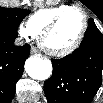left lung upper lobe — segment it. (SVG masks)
<instances>
[{
	"label": "left lung upper lobe",
	"mask_w": 103,
	"mask_h": 103,
	"mask_svg": "<svg viewBox=\"0 0 103 103\" xmlns=\"http://www.w3.org/2000/svg\"><path fill=\"white\" fill-rule=\"evenodd\" d=\"M93 24H95L94 21L92 19H89L88 25H93Z\"/></svg>",
	"instance_id": "obj_1"
}]
</instances>
